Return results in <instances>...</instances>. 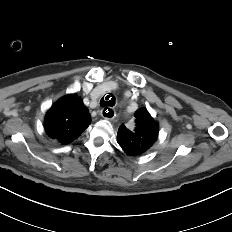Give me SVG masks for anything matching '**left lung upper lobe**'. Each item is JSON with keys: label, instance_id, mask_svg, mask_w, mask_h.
I'll return each mask as SVG.
<instances>
[{"label": "left lung upper lobe", "instance_id": "1", "mask_svg": "<svg viewBox=\"0 0 232 232\" xmlns=\"http://www.w3.org/2000/svg\"><path fill=\"white\" fill-rule=\"evenodd\" d=\"M136 127L128 130L124 124L119 127L117 142L129 156H139L147 152L158 137V123H156L146 109L135 112Z\"/></svg>", "mask_w": 232, "mask_h": 232}]
</instances>
